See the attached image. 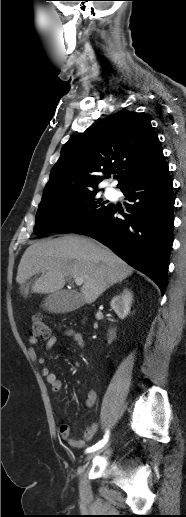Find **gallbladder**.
<instances>
[{"mask_svg":"<svg viewBox=\"0 0 186 517\" xmlns=\"http://www.w3.org/2000/svg\"><path fill=\"white\" fill-rule=\"evenodd\" d=\"M83 299L75 292L60 290L49 295L42 305L47 311L64 313L81 306Z\"/></svg>","mask_w":186,"mask_h":517,"instance_id":"obj_1","label":"gallbladder"}]
</instances>
